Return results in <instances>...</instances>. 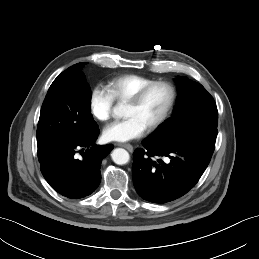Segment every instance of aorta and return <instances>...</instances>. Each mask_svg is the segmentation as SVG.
<instances>
[{
    "label": "aorta",
    "mask_w": 259,
    "mask_h": 259,
    "mask_svg": "<svg viewBox=\"0 0 259 259\" xmlns=\"http://www.w3.org/2000/svg\"><path fill=\"white\" fill-rule=\"evenodd\" d=\"M113 112L116 116H122L121 107H115ZM111 157H112V160L118 165L127 164L130 160L129 153L125 149H122V148H117V149L113 150Z\"/></svg>",
    "instance_id": "1"
}]
</instances>
